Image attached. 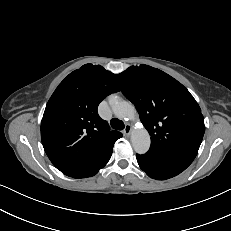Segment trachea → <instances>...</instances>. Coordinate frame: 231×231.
<instances>
[{"mask_svg":"<svg viewBox=\"0 0 231 231\" xmlns=\"http://www.w3.org/2000/svg\"><path fill=\"white\" fill-rule=\"evenodd\" d=\"M110 124H111V127H112L113 129H116V130H123L124 127H125L123 121H121V120H119V119H117V118H113V119L111 120Z\"/></svg>","mask_w":231,"mask_h":231,"instance_id":"1","label":"trachea"}]
</instances>
